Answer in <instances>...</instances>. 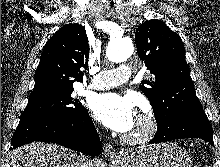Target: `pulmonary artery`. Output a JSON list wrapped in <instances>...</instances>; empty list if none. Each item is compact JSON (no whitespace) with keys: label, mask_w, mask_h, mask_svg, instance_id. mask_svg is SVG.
<instances>
[{"label":"pulmonary artery","mask_w":220,"mask_h":167,"mask_svg":"<svg viewBox=\"0 0 220 167\" xmlns=\"http://www.w3.org/2000/svg\"><path fill=\"white\" fill-rule=\"evenodd\" d=\"M131 75V67L123 64L117 69L96 73L88 84V87L96 90L113 88L128 81Z\"/></svg>","instance_id":"e3ab8cb5"}]
</instances>
